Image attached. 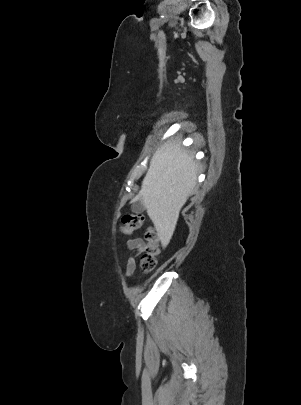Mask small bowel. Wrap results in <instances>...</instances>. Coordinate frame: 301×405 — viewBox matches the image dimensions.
<instances>
[{
	"label": "small bowel",
	"mask_w": 301,
	"mask_h": 405,
	"mask_svg": "<svg viewBox=\"0 0 301 405\" xmlns=\"http://www.w3.org/2000/svg\"><path fill=\"white\" fill-rule=\"evenodd\" d=\"M126 244L129 249L134 251V254L129 257L125 266L126 274L130 275L136 268L137 257L143 252L145 243L141 238H132L127 240Z\"/></svg>",
	"instance_id": "small-bowel-1"
}]
</instances>
